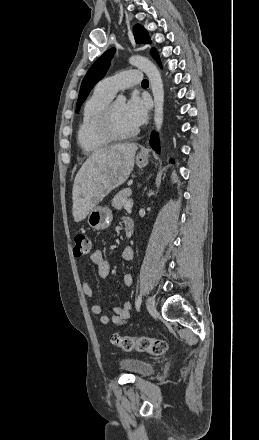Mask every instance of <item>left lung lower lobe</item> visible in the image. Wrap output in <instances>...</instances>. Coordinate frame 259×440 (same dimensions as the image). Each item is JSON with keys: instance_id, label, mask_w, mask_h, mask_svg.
Returning a JSON list of instances; mask_svg holds the SVG:
<instances>
[{"instance_id": "obj_1", "label": "left lung lower lobe", "mask_w": 259, "mask_h": 440, "mask_svg": "<svg viewBox=\"0 0 259 440\" xmlns=\"http://www.w3.org/2000/svg\"><path fill=\"white\" fill-rule=\"evenodd\" d=\"M153 56L157 62H160L158 53L156 51L153 52ZM150 145L157 153H159V140H158V135L155 132H153L151 135Z\"/></svg>"}]
</instances>
